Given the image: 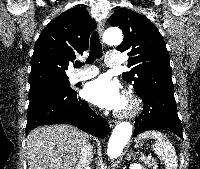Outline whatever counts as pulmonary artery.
Here are the masks:
<instances>
[{"label":"pulmonary artery","instance_id":"1","mask_svg":"<svg viewBox=\"0 0 200 169\" xmlns=\"http://www.w3.org/2000/svg\"><path fill=\"white\" fill-rule=\"evenodd\" d=\"M122 62V58L120 53L113 51L108 53V58L106 59V65L109 67L119 65ZM97 69H91V70H80L76 72L72 78L71 81L76 83V82H81V81H86L88 79L93 78L98 74Z\"/></svg>","mask_w":200,"mask_h":169}]
</instances>
